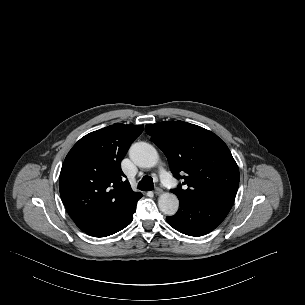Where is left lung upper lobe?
Instances as JSON below:
<instances>
[{
	"mask_svg": "<svg viewBox=\"0 0 305 305\" xmlns=\"http://www.w3.org/2000/svg\"><path fill=\"white\" fill-rule=\"evenodd\" d=\"M145 131L166 155L174 177L183 179L184 189L179 184L178 189L172 190L178 199L234 202L239 169L217 135L183 121L147 124Z\"/></svg>",
	"mask_w": 305,
	"mask_h": 305,
	"instance_id": "obj_1",
	"label": "left lung upper lobe"
}]
</instances>
